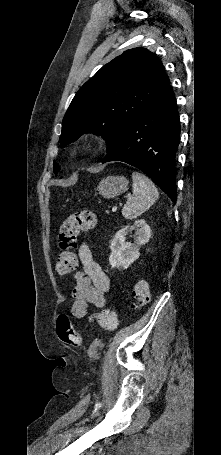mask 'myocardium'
<instances>
[{
  "instance_id": "obj_1",
  "label": "myocardium",
  "mask_w": 221,
  "mask_h": 455,
  "mask_svg": "<svg viewBox=\"0 0 221 455\" xmlns=\"http://www.w3.org/2000/svg\"><path fill=\"white\" fill-rule=\"evenodd\" d=\"M97 139L95 137H86L79 145V149L82 153H90L97 147Z\"/></svg>"
}]
</instances>
